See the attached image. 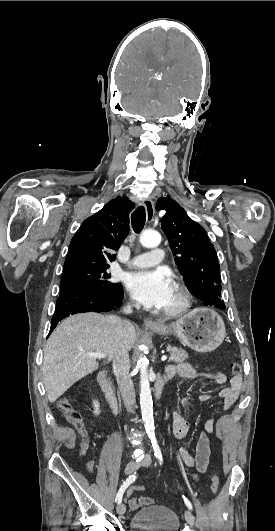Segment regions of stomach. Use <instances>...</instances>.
I'll use <instances>...</instances> for the list:
<instances>
[{
  "label": "stomach",
  "mask_w": 275,
  "mask_h": 531,
  "mask_svg": "<svg viewBox=\"0 0 275 531\" xmlns=\"http://www.w3.org/2000/svg\"><path fill=\"white\" fill-rule=\"evenodd\" d=\"M161 327L151 329L158 335H174L184 345L198 351V353H210L217 349L226 337V329L223 319L212 309H193L183 317H179L175 323L158 321Z\"/></svg>",
  "instance_id": "1"
}]
</instances>
